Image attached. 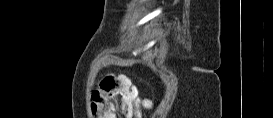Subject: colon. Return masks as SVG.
<instances>
[{
  "mask_svg": "<svg viewBox=\"0 0 273 118\" xmlns=\"http://www.w3.org/2000/svg\"><path fill=\"white\" fill-rule=\"evenodd\" d=\"M150 107L151 103L138 97L127 78L105 76L92 94V114L97 118H115L116 110L128 117H140L141 110Z\"/></svg>",
  "mask_w": 273,
  "mask_h": 118,
  "instance_id": "5ec220e1",
  "label": "colon"
}]
</instances>
